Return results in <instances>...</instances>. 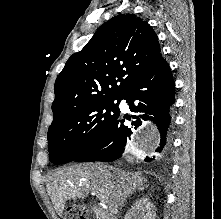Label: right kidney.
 <instances>
[{
  "label": "right kidney",
  "instance_id": "1",
  "mask_svg": "<svg viewBox=\"0 0 221 219\" xmlns=\"http://www.w3.org/2000/svg\"><path fill=\"white\" fill-rule=\"evenodd\" d=\"M125 219H156L155 206L149 199L142 198L131 206Z\"/></svg>",
  "mask_w": 221,
  "mask_h": 219
}]
</instances>
